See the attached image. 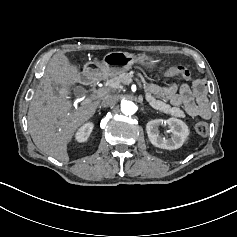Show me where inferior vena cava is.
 Segmentation results:
<instances>
[{
  "instance_id": "602c4592",
  "label": "inferior vena cava",
  "mask_w": 237,
  "mask_h": 237,
  "mask_svg": "<svg viewBox=\"0 0 237 237\" xmlns=\"http://www.w3.org/2000/svg\"><path fill=\"white\" fill-rule=\"evenodd\" d=\"M117 103V99L114 96H106L102 102L101 106L102 107H107V106H112Z\"/></svg>"
}]
</instances>
